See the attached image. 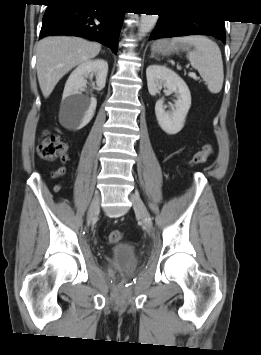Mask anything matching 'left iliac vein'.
<instances>
[{
	"instance_id": "left-iliac-vein-1",
	"label": "left iliac vein",
	"mask_w": 261,
	"mask_h": 355,
	"mask_svg": "<svg viewBox=\"0 0 261 355\" xmlns=\"http://www.w3.org/2000/svg\"><path fill=\"white\" fill-rule=\"evenodd\" d=\"M130 200L133 204V208L136 214L140 217L144 225L149 229L153 230V223L148 210L146 209L143 201L137 194H132Z\"/></svg>"
}]
</instances>
